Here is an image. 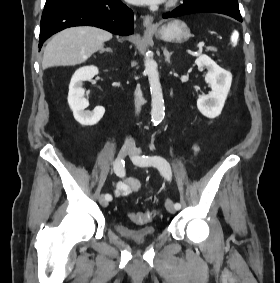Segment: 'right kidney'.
<instances>
[{
    "mask_svg": "<svg viewBox=\"0 0 280 283\" xmlns=\"http://www.w3.org/2000/svg\"><path fill=\"white\" fill-rule=\"evenodd\" d=\"M98 74L95 66H85L77 69L69 84L68 104L73 111L74 118L84 126L97 124L105 113L103 107H96L93 111H85L89 103L83 96L85 90L82 88L83 81L91 80Z\"/></svg>",
    "mask_w": 280,
    "mask_h": 283,
    "instance_id": "ca27d5eb",
    "label": "right kidney"
}]
</instances>
